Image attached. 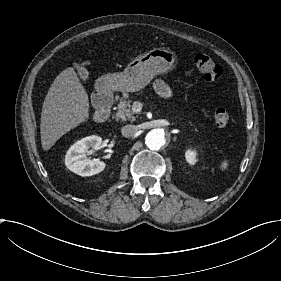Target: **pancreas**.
Segmentation results:
<instances>
[{
    "instance_id": "obj_1",
    "label": "pancreas",
    "mask_w": 281,
    "mask_h": 281,
    "mask_svg": "<svg viewBox=\"0 0 281 281\" xmlns=\"http://www.w3.org/2000/svg\"><path fill=\"white\" fill-rule=\"evenodd\" d=\"M126 99H128V94H125L124 97L121 98L117 104L116 112L113 117L116 121L121 120L122 122H128L136 120V117L134 116V111L127 108V106L130 107L131 101H127Z\"/></svg>"
}]
</instances>
